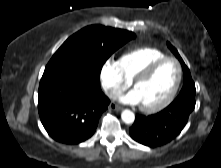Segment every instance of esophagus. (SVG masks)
Instances as JSON below:
<instances>
[{
	"mask_svg": "<svg viewBox=\"0 0 221 168\" xmlns=\"http://www.w3.org/2000/svg\"><path fill=\"white\" fill-rule=\"evenodd\" d=\"M109 109L119 111V110L122 109V107L117 105V104H115V103H110Z\"/></svg>",
	"mask_w": 221,
	"mask_h": 168,
	"instance_id": "1",
	"label": "esophagus"
}]
</instances>
